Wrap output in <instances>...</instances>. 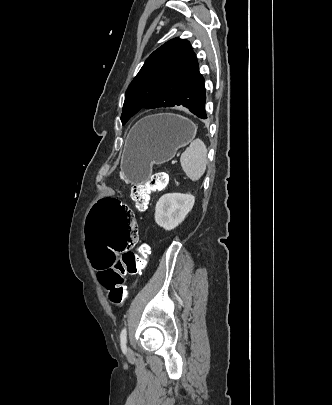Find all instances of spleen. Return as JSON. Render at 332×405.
<instances>
[{
	"label": "spleen",
	"mask_w": 332,
	"mask_h": 405,
	"mask_svg": "<svg viewBox=\"0 0 332 405\" xmlns=\"http://www.w3.org/2000/svg\"><path fill=\"white\" fill-rule=\"evenodd\" d=\"M181 166L188 178L198 181L205 173L207 166V147L204 142L197 138L182 153Z\"/></svg>",
	"instance_id": "obj_1"
}]
</instances>
